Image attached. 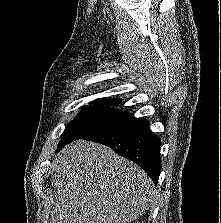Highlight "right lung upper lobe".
<instances>
[{
  "mask_svg": "<svg viewBox=\"0 0 221 223\" xmlns=\"http://www.w3.org/2000/svg\"><path fill=\"white\" fill-rule=\"evenodd\" d=\"M100 101V100H99ZM109 102H113V103H116V100L114 99H111Z\"/></svg>",
  "mask_w": 221,
  "mask_h": 223,
  "instance_id": "cb5924a9",
  "label": "right lung upper lobe"
}]
</instances>
